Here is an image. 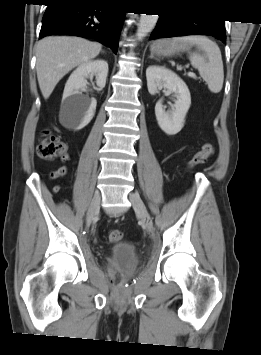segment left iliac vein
Instances as JSON below:
<instances>
[{
	"instance_id": "1",
	"label": "left iliac vein",
	"mask_w": 261,
	"mask_h": 355,
	"mask_svg": "<svg viewBox=\"0 0 261 355\" xmlns=\"http://www.w3.org/2000/svg\"><path fill=\"white\" fill-rule=\"evenodd\" d=\"M129 200L131 201L135 212L140 217V219L143 221L146 228L150 232H153L154 231L153 222H152L150 215H149L142 199L140 198V196L136 193H131L129 195Z\"/></svg>"
}]
</instances>
